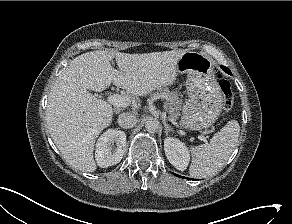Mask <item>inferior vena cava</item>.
<instances>
[{
  "label": "inferior vena cava",
  "instance_id": "inferior-vena-cava-1",
  "mask_svg": "<svg viewBox=\"0 0 292 224\" xmlns=\"http://www.w3.org/2000/svg\"><path fill=\"white\" fill-rule=\"evenodd\" d=\"M136 123H137V118L132 113H128V112L121 113L118 116V124L120 125V127L124 129L132 128L136 125Z\"/></svg>",
  "mask_w": 292,
  "mask_h": 224
}]
</instances>
